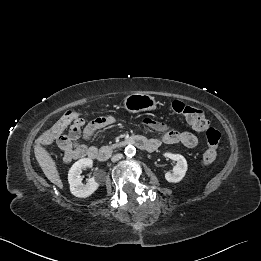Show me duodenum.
Wrapping results in <instances>:
<instances>
[{
    "label": "duodenum",
    "instance_id": "1",
    "mask_svg": "<svg viewBox=\"0 0 261 261\" xmlns=\"http://www.w3.org/2000/svg\"><path fill=\"white\" fill-rule=\"evenodd\" d=\"M129 144L134 145L137 148H139L143 151H148V152L154 151L157 148V144L155 142L148 140L142 136L135 135V136L126 138L115 145L107 146L100 150L89 152L88 155L91 158L96 159L98 161H106L111 157V155L115 151L122 149L123 147H125L126 145H129Z\"/></svg>",
    "mask_w": 261,
    "mask_h": 261
}]
</instances>
